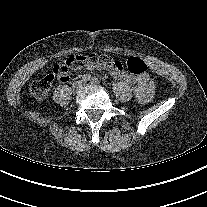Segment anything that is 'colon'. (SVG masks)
<instances>
[{
  "label": "colon",
  "instance_id": "colon-1",
  "mask_svg": "<svg viewBox=\"0 0 207 207\" xmlns=\"http://www.w3.org/2000/svg\"><path fill=\"white\" fill-rule=\"evenodd\" d=\"M113 63L111 57L106 54H88L68 57L64 64L57 65L51 73H47L34 79L30 85V93L35 101L41 102L47 96L54 79L59 74L69 73V71L79 70L87 65H96L106 67ZM128 71L134 75H141L147 71V65L144 61L136 57L126 59Z\"/></svg>",
  "mask_w": 207,
  "mask_h": 207
}]
</instances>
